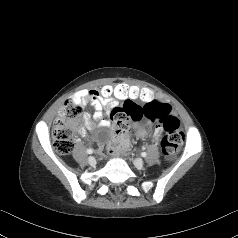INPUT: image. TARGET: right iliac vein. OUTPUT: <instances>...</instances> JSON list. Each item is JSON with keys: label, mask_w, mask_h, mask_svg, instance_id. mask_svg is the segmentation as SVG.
I'll use <instances>...</instances> for the list:
<instances>
[{"label": "right iliac vein", "mask_w": 238, "mask_h": 238, "mask_svg": "<svg viewBox=\"0 0 238 238\" xmlns=\"http://www.w3.org/2000/svg\"><path fill=\"white\" fill-rule=\"evenodd\" d=\"M95 163H96L95 158L92 157V156H90V157L88 158V164H90V165H94Z\"/></svg>", "instance_id": "right-iliac-vein-1"}]
</instances>
